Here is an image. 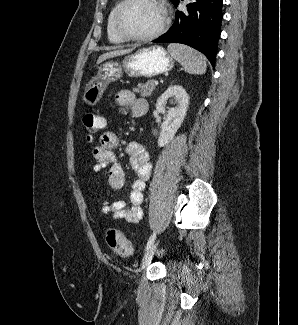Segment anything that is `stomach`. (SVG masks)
I'll return each mask as SVG.
<instances>
[{"label":"stomach","mask_w":298,"mask_h":325,"mask_svg":"<svg viewBox=\"0 0 298 325\" xmlns=\"http://www.w3.org/2000/svg\"><path fill=\"white\" fill-rule=\"evenodd\" d=\"M174 66V58L167 52L164 46H142L137 50H131L124 56L121 62L109 60L98 66L94 76H90L84 86L82 100L88 106H95L100 102L108 84L122 78L124 74L131 78H153L157 74L169 72Z\"/></svg>","instance_id":"1"}]
</instances>
